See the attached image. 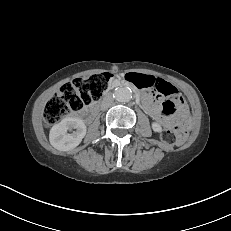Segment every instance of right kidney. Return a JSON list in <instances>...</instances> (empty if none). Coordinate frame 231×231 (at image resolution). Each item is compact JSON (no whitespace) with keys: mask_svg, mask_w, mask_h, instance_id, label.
<instances>
[{"mask_svg":"<svg viewBox=\"0 0 231 231\" xmlns=\"http://www.w3.org/2000/svg\"><path fill=\"white\" fill-rule=\"evenodd\" d=\"M74 129V131H72ZM86 126L79 118L67 117L55 124L49 134L51 145L60 151L77 147L86 135ZM68 131H72L68 133Z\"/></svg>","mask_w":231,"mask_h":231,"instance_id":"1","label":"right kidney"}]
</instances>
